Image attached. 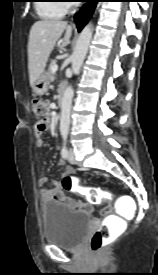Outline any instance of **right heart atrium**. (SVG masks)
I'll return each mask as SVG.
<instances>
[{
	"mask_svg": "<svg viewBox=\"0 0 158 275\" xmlns=\"http://www.w3.org/2000/svg\"><path fill=\"white\" fill-rule=\"evenodd\" d=\"M64 2H67L65 5L67 6L68 8V5L70 4V2H72L71 0H65Z\"/></svg>",
	"mask_w": 158,
	"mask_h": 275,
	"instance_id": "d8ad5b80",
	"label": "right heart atrium"
}]
</instances>
